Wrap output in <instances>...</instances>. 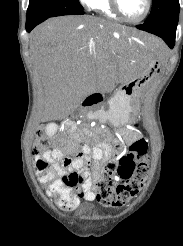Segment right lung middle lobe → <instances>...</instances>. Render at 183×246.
<instances>
[{
	"label": "right lung middle lobe",
	"mask_w": 183,
	"mask_h": 246,
	"mask_svg": "<svg viewBox=\"0 0 183 246\" xmlns=\"http://www.w3.org/2000/svg\"><path fill=\"white\" fill-rule=\"evenodd\" d=\"M74 9L84 10L78 0H29L26 19H40L57 12Z\"/></svg>",
	"instance_id": "dd1d6c3e"
}]
</instances>
